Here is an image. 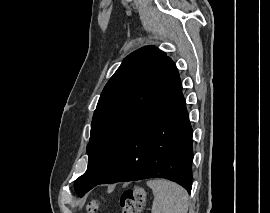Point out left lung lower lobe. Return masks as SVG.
I'll use <instances>...</instances> for the list:
<instances>
[{
	"mask_svg": "<svg viewBox=\"0 0 270 213\" xmlns=\"http://www.w3.org/2000/svg\"><path fill=\"white\" fill-rule=\"evenodd\" d=\"M192 128L181 82L139 125L98 184L165 178L192 188Z\"/></svg>",
	"mask_w": 270,
	"mask_h": 213,
	"instance_id": "left-lung-lower-lobe-1",
	"label": "left lung lower lobe"
}]
</instances>
